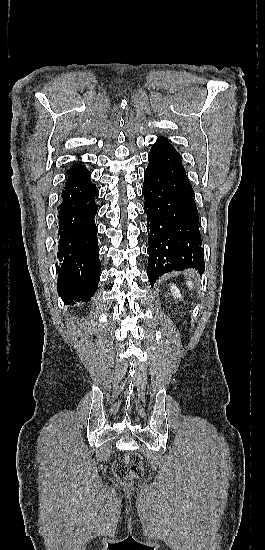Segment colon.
<instances>
[{
	"label": "colon",
	"mask_w": 265,
	"mask_h": 550,
	"mask_svg": "<svg viewBox=\"0 0 265 550\" xmlns=\"http://www.w3.org/2000/svg\"><path fill=\"white\" fill-rule=\"evenodd\" d=\"M112 469L119 481L129 483L143 474V461L140 455L130 453L118 458L113 463Z\"/></svg>",
	"instance_id": "colon-1"
}]
</instances>
